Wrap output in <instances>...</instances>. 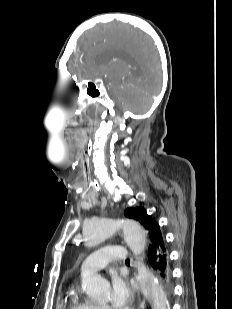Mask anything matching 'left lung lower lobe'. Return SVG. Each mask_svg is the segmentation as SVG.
Instances as JSON below:
<instances>
[{"instance_id":"left-lung-lower-lobe-1","label":"left lung lower lobe","mask_w":232,"mask_h":309,"mask_svg":"<svg viewBox=\"0 0 232 309\" xmlns=\"http://www.w3.org/2000/svg\"><path fill=\"white\" fill-rule=\"evenodd\" d=\"M147 257L149 265L157 273L162 284L169 290L171 280L169 252L158 223L153 226L149 234Z\"/></svg>"}]
</instances>
